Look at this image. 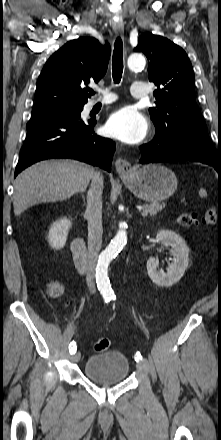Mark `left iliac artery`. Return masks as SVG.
<instances>
[{"label":"left iliac artery","mask_w":221,"mask_h":440,"mask_svg":"<svg viewBox=\"0 0 221 440\" xmlns=\"http://www.w3.org/2000/svg\"><path fill=\"white\" fill-rule=\"evenodd\" d=\"M112 299L113 300H115L116 299V296H112ZM140 360H142V356H141V354H140V352H137L136 354H135V361L136 362H139Z\"/></svg>","instance_id":"44dca946"}]
</instances>
